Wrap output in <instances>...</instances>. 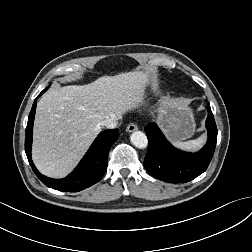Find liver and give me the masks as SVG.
<instances>
[{"instance_id":"6515ba94","label":"liver","mask_w":252,"mask_h":252,"mask_svg":"<svg viewBox=\"0 0 252 252\" xmlns=\"http://www.w3.org/2000/svg\"><path fill=\"white\" fill-rule=\"evenodd\" d=\"M148 76L143 71L125 72L47 91L34 121L32 157L38 170L65 177L101 132L102 121L121 118L143 102Z\"/></svg>"}]
</instances>
